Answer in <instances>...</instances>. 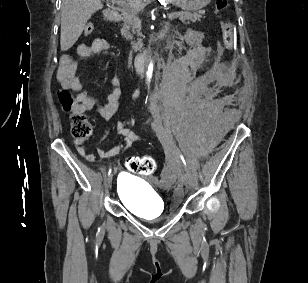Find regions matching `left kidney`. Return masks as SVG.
<instances>
[{
  "label": "left kidney",
  "mask_w": 308,
  "mask_h": 283,
  "mask_svg": "<svg viewBox=\"0 0 308 283\" xmlns=\"http://www.w3.org/2000/svg\"><path fill=\"white\" fill-rule=\"evenodd\" d=\"M186 39L191 44H195L198 41V35L194 31H188L187 34H186Z\"/></svg>",
  "instance_id": "left-kidney-1"
}]
</instances>
